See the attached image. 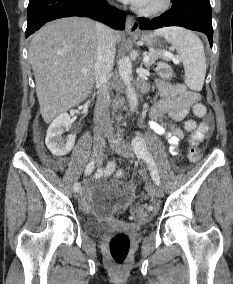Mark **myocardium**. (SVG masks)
<instances>
[{"label": "myocardium", "instance_id": "obj_1", "mask_svg": "<svg viewBox=\"0 0 233 284\" xmlns=\"http://www.w3.org/2000/svg\"><path fill=\"white\" fill-rule=\"evenodd\" d=\"M171 0H160L157 4L149 7L140 6L137 8V12L146 17L158 16L169 9Z\"/></svg>", "mask_w": 233, "mask_h": 284}]
</instances>
